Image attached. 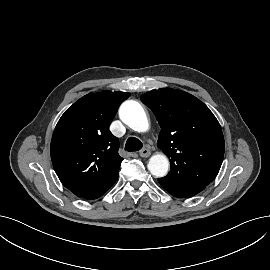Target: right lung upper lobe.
Returning <instances> with one entry per match:
<instances>
[{
	"mask_svg": "<svg viewBox=\"0 0 270 270\" xmlns=\"http://www.w3.org/2000/svg\"><path fill=\"white\" fill-rule=\"evenodd\" d=\"M129 93L102 91L76 101L58 121L50 146L62 184L78 197L99 193L117 178L123 160L119 140L108 130Z\"/></svg>",
	"mask_w": 270,
	"mask_h": 270,
	"instance_id": "right-lung-upper-lobe-1",
	"label": "right lung upper lobe"
}]
</instances>
